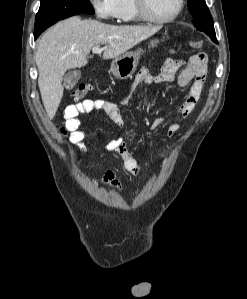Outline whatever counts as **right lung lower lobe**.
<instances>
[{"instance_id":"1","label":"right lung lower lobe","mask_w":247,"mask_h":299,"mask_svg":"<svg viewBox=\"0 0 247 299\" xmlns=\"http://www.w3.org/2000/svg\"><path fill=\"white\" fill-rule=\"evenodd\" d=\"M38 36H39V35H37V36H34V39H37V38H38Z\"/></svg>"}]
</instances>
